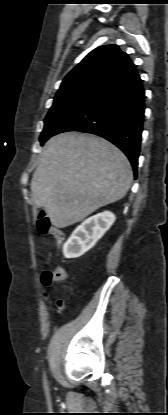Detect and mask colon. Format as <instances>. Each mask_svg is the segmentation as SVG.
<instances>
[{"label":"colon","instance_id":"colon-1","mask_svg":"<svg viewBox=\"0 0 168 415\" xmlns=\"http://www.w3.org/2000/svg\"><path fill=\"white\" fill-rule=\"evenodd\" d=\"M37 229L39 233L50 235L54 238L57 244H62L64 241L63 232L54 227L45 214L41 213L37 220ZM65 280V272L60 266H52L46 269L42 275V281L46 286L60 284Z\"/></svg>","mask_w":168,"mask_h":415}]
</instances>
